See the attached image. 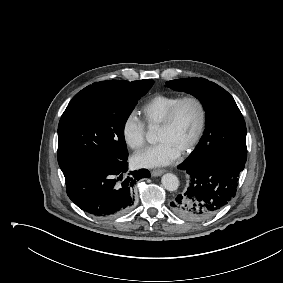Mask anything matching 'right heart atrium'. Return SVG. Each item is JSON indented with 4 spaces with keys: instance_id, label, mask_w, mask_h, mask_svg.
<instances>
[{
    "instance_id": "obj_1",
    "label": "right heart atrium",
    "mask_w": 283,
    "mask_h": 283,
    "mask_svg": "<svg viewBox=\"0 0 283 283\" xmlns=\"http://www.w3.org/2000/svg\"><path fill=\"white\" fill-rule=\"evenodd\" d=\"M121 134L126 145L133 150L141 148L145 143V125L134 113H130L125 117L121 127Z\"/></svg>"
}]
</instances>
